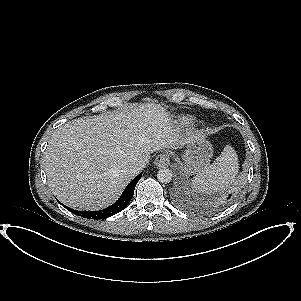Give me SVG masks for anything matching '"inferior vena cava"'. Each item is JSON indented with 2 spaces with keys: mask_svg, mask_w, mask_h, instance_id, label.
Listing matches in <instances>:
<instances>
[{
  "mask_svg": "<svg viewBox=\"0 0 301 301\" xmlns=\"http://www.w3.org/2000/svg\"><path fill=\"white\" fill-rule=\"evenodd\" d=\"M147 163L148 162L145 161V160L140 161V162H136V163H134V164L131 165L130 170L133 173H138V172L142 171L146 167Z\"/></svg>",
  "mask_w": 301,
  "mask_h": 301,
  "instance_id": "1",
  "label": "inferior vena cava"
}]
</instances>
